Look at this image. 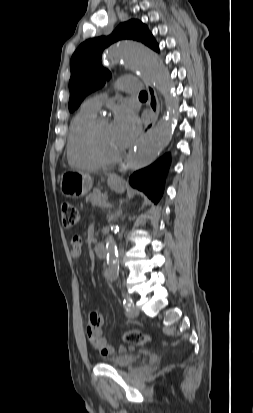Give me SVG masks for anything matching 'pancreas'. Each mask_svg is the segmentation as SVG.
Returning a JSON list of instances; mask_svg holds the SVG:
<instances>
[{"mask_svg": "<svg viewBox=\"0 0 253 413\" xmlns=\"http://www.w3.org/2000/svg\"><path fill=\"white\" fill-rule=\"evenodd\" d=\"M87 202H91L93 205L99 206L100 204L104 203L107 201V197L104 196L103 193H101L100 190H94L92 193H90L86 197Z\"/></svg>", "mask_w": 253, "mask_h": 413, "instance_id": "cf45deb5", "label": "pancreas"}]
</instances>
